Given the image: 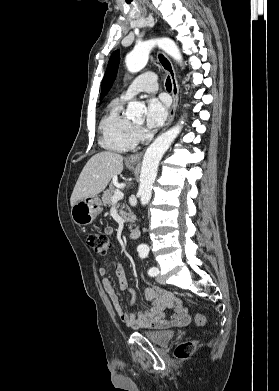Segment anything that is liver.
<instances>
[{
    "instance_id": "6515ba94",
    "label": "liver",
    "mask_w": 279,
    "mask_h": 391,
    "mask_svg": "<svg viewBox=\"0 0 279 391\" xmlns=\"http://www.w3.org/2000/svg\"><path fill=\"white\" fill-rule=\"evenodd\" d=\"M123 156L103 151L92 156L84 166L72 192L70 204L88 197H95L109 184L113 176L123 170Z\"/></svg>"
}]
</instances>
